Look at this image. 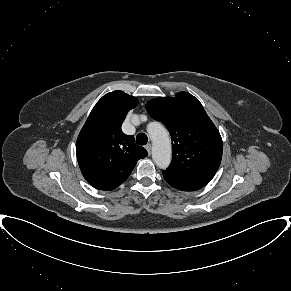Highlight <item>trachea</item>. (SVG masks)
<instances>
[{"label": "trachea", "mask_w": 291, "mask_h": 291, "mask_svg": "<svg viewBox=\"0 0 291 291\" xmlns=\"http://www.w3.org/2000/svg\"><path fill=\"white\" fill-rule=\"evenodd\" d=\"M148 142V137L145 133H139L136 136V143L139 145H146Z\"/></svg>", "instance_id": "obj_1"}]
</instances>
